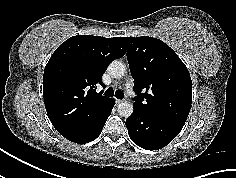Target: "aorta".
Listing matches in <instances>:
<instances>
[{"label":"aorta","instance_id":"1","mask_svg":"<svg viewBox=\"0 0 236 178\" xmlns=\"http://www.w3.org/2000/svg\"><path fill=\"white\" fill-rule=\"evenodd\" d=\"M109 74L114 78H121L125 74V65L118 60L112 61L108 66ZM118 114L122 117H129L133 113V104L128 101L119 103L118 105Z\"/></svg>","mask_w":236,"mask_h":178}]
</instances>
